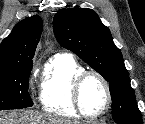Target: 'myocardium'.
I'll list each match as a JSON object with an SVG mask.
<instances>
[{
	"label": "myocardium",
	"instance_id": "myocardium-1",
	"mask_svg": "<svg viewBox=\"0 0 145 124\" xmlns=\"http://www.w3.org/2000/svg\"><path fill=\"white\" fill-rule=\"evenodd\" d=\"M91 77L96 78L103 85L105 93H106L105 104L102 110L96 114L86 113L82 106V88L85 82ZM72 99H73V104L75 106V109L79 113L80 116L87 119H98L107 112L112 102V93H111L109 82L101 73L95 70H84L81 73H79L73 81Z\"/></svg>",
	"mask_w": 145,
	"mask_h": 124
}]
</instances>
